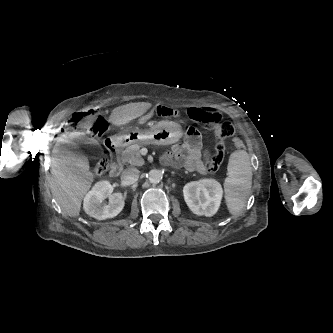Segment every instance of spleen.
Listing matches in <instances>:
<instances>
[{"label": "spleen", "instance_id": "obj_1", "mask_svg": "<svg viewBox=\"0 0 333 333\" xmlns=\"http://www.w3.org/2000/svg\"><path fill=\"white\" fill-rule=\"evenodd\" d=\"M228 176L224 182L225 200L229 212L237 215L245 206L252 185V167L247 151L238 150L230 155Z\"/></svg>", "mask_w": 333, "mask_h": 333}]
</instances>
